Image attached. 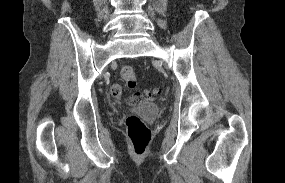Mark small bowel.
I'll list each match as a JSON object with an SVG mask.
<instances>
[{
  "label": "small bowel",
  "instance_id": "small-bowel-1",
  "mask_svg": "<svg viewBox=\"0 0 285 183\" xmlns=\"http://www.w3.org/2000/svg\"><path fill=\"white\" fill-rule=\"evenodd\" d=\"M121 93H122V89H121L120 85L115 84L111 87V95L114 98H116V99L120 98Z\"/></svg>",
  "mask_w": 285,
  "mask_h": 183
}]
</instances>
